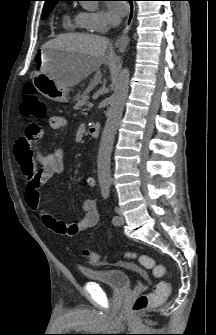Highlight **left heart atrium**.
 Segmentation results:
<instances>
[{
  "label": "left heart atrium",
  "mask_w": 216,
  "mask_h": 335,
  "mask_svg": "<svg viewBox=\"0 0 216 335\" xmlns=\"http://www.w3.org/2000/svg\"><path fill=\"white\" fill-rule=\"evenodd\" d=\"M108 8L114 19H118L128 12L127 4L123 1H112L108 4Z\"/></svg>",
  "instance_id": "obj_1"
}]
</instances>
